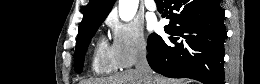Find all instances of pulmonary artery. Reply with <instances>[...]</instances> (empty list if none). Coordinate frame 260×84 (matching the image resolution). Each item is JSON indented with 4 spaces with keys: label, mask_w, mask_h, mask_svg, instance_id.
Returning <instances> with one entry per match:
<instances>
[{
    "label": "pulmonary artery",
    "mask_w": 260,
    "mask_h": 84,
    "mask_svg": "<svg viewBox=\"0 0 260 84\" xmlns=\"http://www.w3.org/2000/svg\"><path fill=\"white\" fill-rule=\"evenodd\" d=\"M145 6L149 11H152V12L156 11V9H157V5H156L155 1H153V0H146Z\"/></svg>",
    "instance_id": "1"
}]
</instances>
